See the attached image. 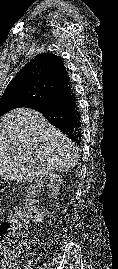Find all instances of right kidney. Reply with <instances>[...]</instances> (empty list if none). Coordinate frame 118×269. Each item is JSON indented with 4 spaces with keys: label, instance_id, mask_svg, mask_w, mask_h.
I'll return each instance as SVG.
<instances>
[{
    "label": "right kidney",
    "instance_id": "obj_1",
    "mask_svg": "<svg viewBox=\"0 0 118 269\" xmlns=\"http://www.w3.org/2000/svg\"><path fill=\"white\" fill-rule=\"evenodd\" d=\"M62 183V178L57 174H47L45 176H41L39 180H36L29 186L25 195V205L28 211V216L34 223H40L42 218L46 212L45 208L40 209L36 206V199L38 190L43 188L45 184L49 187V192L51 198L57 196L60 185Z\"/></svg>",
    "mask_w": 118,
    "mask_h": 269
}]
</instances>
